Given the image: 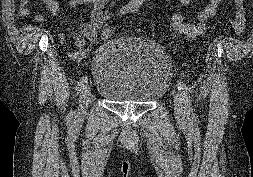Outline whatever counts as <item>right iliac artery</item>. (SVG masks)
<instances>
[{
    "label": "right iliac artery",
    "instance_id": "right-iliac-artery-1",
    "mask_svg": "<svg viewBox=\"0 0 253 177\" xmlns=\"http://www.w3.org/2000/svg\"><path fill=\"white\" fill-rule=\"evenodd\" d=\"M133 9V6L132 5H126L125 7H123L121 10H120V14H124L128 11H132ZM88 83V76H83L77 83V87H76V91H77V94H79V92L81 90H84L86 85Z\"/></svg>",
    "mask_w": 253,
    "mask_h": 177
}]
</instances>
